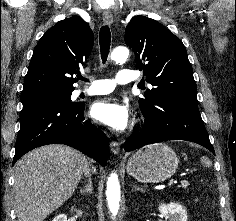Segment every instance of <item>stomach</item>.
<instances>
[{
	"mask_svg": "<svg viewBox=\"0 0 236 221\" xmlns=\"http://www.w3.org/2000/svg\"><path fill=\"white\" fill-rule=\"evenodd\" d=\"M179 160L166 144L155 143L141 148L128 160L126 170L143 183H159L170 178L177 170Z\"/></svg>",
	"mask_w": 236,
	"mask_h": 221,
	"instance_id": "obj_1",
	"label": "stomach"
}]
</instances>
